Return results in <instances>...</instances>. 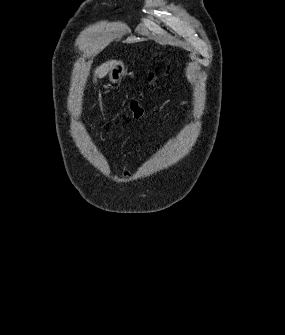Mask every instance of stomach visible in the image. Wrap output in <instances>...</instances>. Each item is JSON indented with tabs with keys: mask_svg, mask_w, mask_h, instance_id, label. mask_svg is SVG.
I'll return each mask as SVG.
<instances>
[{
	"mask_svg": "<svg viewBox=\"0 0 285 335\" xmlns=\"http://www.w3.org/2000/svg\"><path fill=\"white\" fill-rule=\"evenodd\" d=\"M125 74L126 70L123 62H115L108 74L109 82H112V84H117V82H121Z\"/></svg>",
	"mask_w": 285,
	"mask_h": 335,
	"instance_id": "1",
	"label": "stomach"
}]
</instances>
